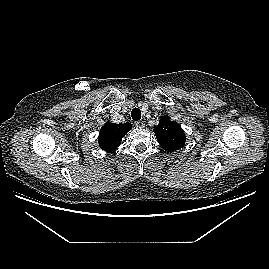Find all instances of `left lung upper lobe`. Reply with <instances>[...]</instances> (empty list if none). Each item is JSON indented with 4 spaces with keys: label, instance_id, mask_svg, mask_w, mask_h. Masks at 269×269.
Masks as SVG:
<instances>
[{
    "label": "left lung upper lobe",
    "instance_id": "left-lung-upper-lobe-1",
    "mask_svg": "<svg viewBox=\"0 0 269 269\" xmlns=\"http://www.w3.org/2000/svg\"><path fill=\"white\" fill-rule=\"evenodd\" d=\"M153 131L159 144L168 152H174L184 146V131L177 122L170 121L168 116L162 117Z\"/></svg>",
    "mask_w": 269,
    "mask_h": 269
}]
</instances>
